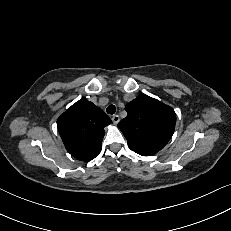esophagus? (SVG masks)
<instances>
[{
    "instance_id": "34e87169",
    "label": "esophagus",
    "mask_w": 231,
    "mask_h": 231,
    "mask_svg": "<svg viewBox=\"0 0 231 231\" xmlns=\"http://www.w3.org/2000/svg\"><path fill=\"white\" fill-rule=\"evenodd\" d=\"M111 119H112L114 124H117L120 121V117L117 114L113 115Z\"/></svg>"
}]
</instances>
